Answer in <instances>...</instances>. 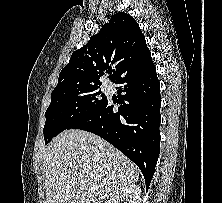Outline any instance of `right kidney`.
<instances>
[{
    "label": "right kidney",
    "mask_w": 222,
    "mask_h": 203,
    "mask_svg": "<svg viewBox=\"0 0 222 203\" xmlns=\"http://www.w3.org/2000/svg\"><path fill=\"white\" fill-rule=\"evenodd\" d=\"M141 188L137 184H130L117 191L116 194L105 203H138Z\"/></svg>",
    "instance_id": "obj_1"
}]
</instances>
